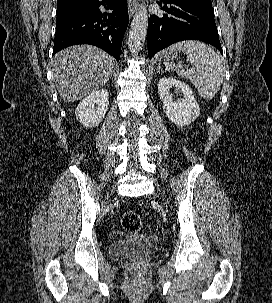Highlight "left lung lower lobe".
Masks as SVG:
<instances>
[{"label":"left lung lower lobe","instance_id":"1","mask_svg":"<svg viewBox=\"0 0 272 303\" xmlns=\"http://www.w3.org/2000/svg\"><path fill=\"white\" fill-rule=\"evenodd\" d=\"M157 2L166 13L152 15L149 18L147 33L149 58L173 43L191 39L211 44L223 53L212 5L164 3L161 0Z\"/></svg>","mask_w":272,"mask_h":303}]
</instances>
